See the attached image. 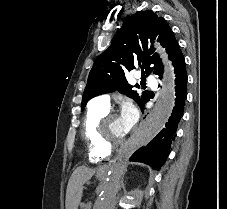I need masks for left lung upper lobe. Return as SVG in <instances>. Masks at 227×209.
<instances>
[{
    "mask_svg": "<svg viewBox=\"0 0 227 209\" xmlns=\"http://www.w3.org/2000/svg\"><path fill=\"white\" fill-rule=\"evenodd\" d=\"M148 39H157L166 48L169 59L173 62L179 51L178 42L166 20L151 10L139 11L128 16L111 45L97 57L89 73L84 90L81 111L86 103L100 94L118 90L133 98L141 107L149 101V93L137 94L128 83L126 75L136 66L142 69V79L151 72L162 75L163 65L153 46H148ZM142 82V81H141Z\"/></svg>",
    "mask_w": 227,
    "mask_h": 209,
    "instance_id": "1",
    "label": "left lung upper lobe"
}]
</instances>
